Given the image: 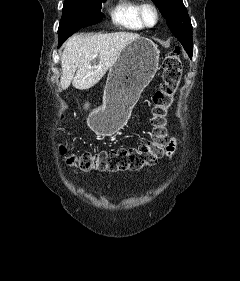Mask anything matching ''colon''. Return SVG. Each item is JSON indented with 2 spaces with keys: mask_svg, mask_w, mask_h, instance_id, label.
I'll list each match as a JSON object with an SVG mask.
<instances>
[{
  "mask_svg": "<svg viewBox=\"0 0 240 281\" xmlns=\"http://www.w3.org/2000/svg\"><path fill=\"white\" fill-rule=\"evenodd\" d=\"M162 67V82L153 94L151 139L138 147L82 153L71 152L67 145L61 144L60 153L66 157L68 164L83 171H139L155 165L165 156L169 144L167 113L174 101L182 75V61L177 48L166 54Z\"/></svg>",
  "mask_w": 240,
  "mask_h": 281,
  "instance_id": "obj_1",
  "label": "colon"
}]
</instances>
